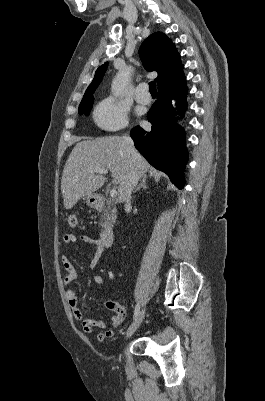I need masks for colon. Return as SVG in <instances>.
Wrapping results in <instances>:
<instances>
[{
  "label": "colon",
  "mask_w": 265,
  "mask_h": 401,
  "mask_svg": "<svg viewBox=\"0 0 265 401\" xmlns=\"http://www.w3.org/2000/svg\"><path fill=\"white\" fill-rule=\"evenodd\" d=\"M67 225H68L70 228L76 227V225H77V216H76L75 214H70V215L67 217Z\"/></svg>",
  "instance_id": "colon-1"
}]
</instances>
